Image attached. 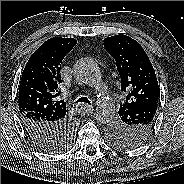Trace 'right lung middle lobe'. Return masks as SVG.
Listing matches in <instances>:
<instances>
[{
	"label": "right lung middle lobe",
	"instance_id": "right-lung-middle-lobe-1",
	"mask_svg": "<svg viewBox=\"0 0 184 184\" xmlns=\"http://www.w3.org/2000/svg\"><path fill=\"white\" fill-rule=\"evenodd\" d=\"M73 132L72 130H68L66 132V134L63 136L61 143L57 146H50V147H44V149H46V151L48 152H59L62 151L64 149H62L65 146V149L70 145L72 139H73ZM70 142V143H69ZM67 144V147H66Z\"/></svg>",
	"mask_w": 184,
	"mask_h": 184
}]
</instances>
